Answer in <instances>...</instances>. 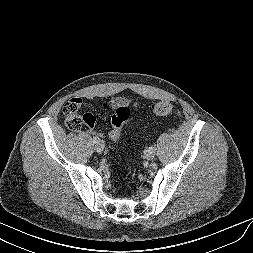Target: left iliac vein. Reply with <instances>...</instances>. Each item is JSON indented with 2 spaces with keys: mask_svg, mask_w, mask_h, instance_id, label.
<instances>
[{
  "mask_svg": "<svg viewBox=\"0 0 253 253\" xmlns=\"http://www.w3.org/2000/svg\"><path fill=\"white\" fill-rule=\"evenodd\" d=\"M155 156V152H152L150 149H147L145 152H144V157L145 159L147 160H152Z\"/></svg>",
  "mask_w": 253,
  "mask_h": 253,
  "instance_id": "4c4485c4",
  "label": "left iliac vein"
}]
</instances>
